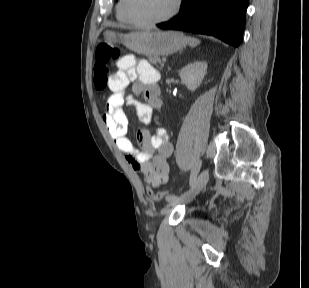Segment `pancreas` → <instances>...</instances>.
Returning a JSON list of instances; mask_svg holds the SVG:
<instances>
[{"instance_id":"cf45deb5","label":"pancreas","mask_w":309,"mask_h":288,"mask_svg":"<svg viewBox=\"0 0 309 288\" xmlns=\"http://www.w3.org/2000/svg\"><path fill=\"white\" fill-rule=\"evenodd\" d=\"M149 61H150L151 64H154V65H156L157 63H161L160 58H159V57H156V56H154V57H149Z\"/></svg>"}]
</instances>
